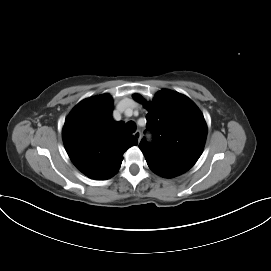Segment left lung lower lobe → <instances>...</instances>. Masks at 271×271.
Returning a JSON list of instances; mask_svg holds the SVG:
<instances>
[{"label":"left lung lower lobe","instance_id":"obj_1","mask_svg":"<svg viewBox=\"0 0 271 271\" xmlns=\"http://www.w3.org/2000/svg\"><path fill=\"white\" fill-rule=\"evenodd\" d=\"M147 164L154 173L165 178H171L182 174L181 172L175 170H170L150 163Z\"/></svg>","mask_w":271,"mask_h":271}]
</instances>
